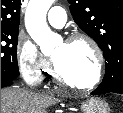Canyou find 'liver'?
I'll return each mask as SVG.
<instances>
[{
  "label": "liver",
  "instance_id": "obj_1",
  "mask_svg": "<svg viewBox=\"0 0 123 113\" xmlns=\"http://www.w3.org/2000/svg\"><path fill=\"white\" fill-rule=\"evenodd\" d=\"M59 101L54 95L15 87L1 89V113H47L48 107Z\"/></svg>",
  "mask_w": 123,
  "mask_h": 113
}]
</instances>
